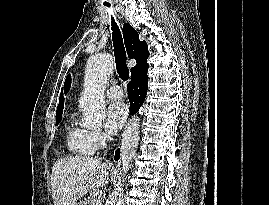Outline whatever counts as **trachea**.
I'll return each instance as SVG.
<instances>
[{"label":"trachea","mask_w":269,"mask_h":205,"mask_svg":"<svg viewBox=\"0 0 269 205\" xmlns=\"http://www.w3.org/2000/svg\"><path fill=\"white\" fill-rule=\"evenodd\" d=\"M111 29H112V40H113V46H114V55H115L117 73L123 81H127L129 78V70L127 67L126 51L124 48L120 29L115 23L113 18H112Z\"/></svg>","instance_id":"3493384b"}]
</instances>
